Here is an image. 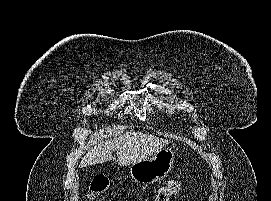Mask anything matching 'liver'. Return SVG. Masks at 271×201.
<instances>
[{"label":"liver","mask_w":271,"mask_h":201,"mask_svg":"<svg viewBox=\"0 0 271 201\" xmlns=\"http://www.w3.org/2000/svg\"><path fill=\"white\" fill-rule=\"evenodd\" d=\"M169 143L171 141L143 132H126L105 141L95 138L93 147L81 159L79 167L108 162L113 159L114 151H117L118 164L128 166L149 158Z\"/></svg>","instance_id":"obj_1"}]
</instances>
